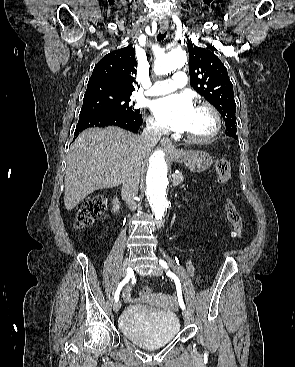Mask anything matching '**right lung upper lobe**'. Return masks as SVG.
<instances>
[{"label": "right lung upper lobe", "mask_w": 295, "mask_h": 367, "mask_svg": "<svg viewBox=\"0 0 295 367\" xmlns=\"http://www.w3.org/2000/svg\"><path fill=\"white\" fill-rule=\"evenodd\" d=\"M136 67L135 49L131 45L112 51L95 65L87 90L107 89L131 94L138 86L134 81Z\"/></svg>", "instance_id": "1"}]
</instances>
